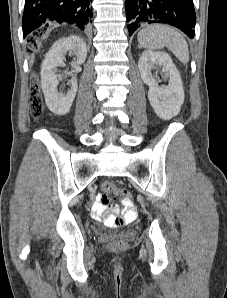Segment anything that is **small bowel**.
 I'll return each mask as SVG.
<instances>
[{
    "label": "small bowel",
    "mask_w": 227,
    "mask_h": 298,
    "mask_svg": "<svg viewBox=\"0 0 227 298\" xmlns=\"http://www.w3.org/2000/svg\"><path fill=\"white\" fill-rule=\"evenodd\" d=\"M103 195L104 193L97 195L96 201L93 203L91 208L92 214L96 219H100L106 213L105 208L100 203V199L102 198ZM125 208H126V213L123 220L124 222H129L135 217L136 211L133 207H125ZM116 210L117 209L114 207V211Z\"/></svg>",
    "instance_id": "1"
}]
</instances>
